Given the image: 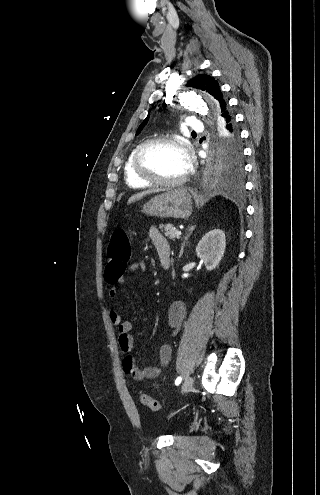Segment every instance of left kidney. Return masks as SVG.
Listing matches in <instances>:
<instances>
[{"label": "left kidney", "instance_id": "obj_1", "mask_svg": "<svg viewBox=\"0 0 320 495\" xmlns=\"http://www.w3.org/2000/svg\"><path fill=\"white\" fill-rule=\"evenodd\" d=\"M226 247L225 233L215 229L205 234L196 247L197 256L211 271L220 263Z\"/></svg>", "mask_w": 320, "mask_h": 495}]
</instances>
